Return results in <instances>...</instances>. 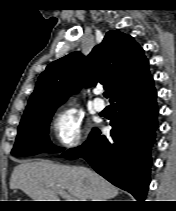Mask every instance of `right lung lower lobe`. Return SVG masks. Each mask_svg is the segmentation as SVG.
Listing matches in <instances>:
<instances>
[{
    "instance_id": "obj_1",
    "label": "right lung lower lobe",
    "mask_w": 176,
    "mask_h": 211,
    "mask_svg": "<svg viewBox=\"0 0 176 211\" xmlns=\"http://www.w3.org/2000/svg\"><path fill=\"white\" fill-rule=\"evenodd\" d=\"M157 112L156 91L151 81L137 94L112 104L110 137L94 128L82 146L69 149L62 156L84 158L112 184L143 201L150 183Z\"/></svg>"
}]
</instances>
